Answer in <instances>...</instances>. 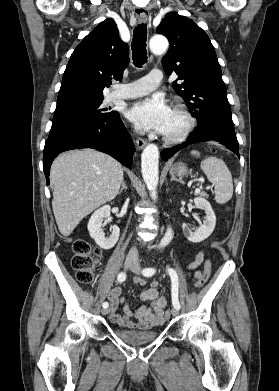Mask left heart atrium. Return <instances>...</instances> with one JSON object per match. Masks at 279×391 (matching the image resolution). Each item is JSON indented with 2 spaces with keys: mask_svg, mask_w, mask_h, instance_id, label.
Wrapping results in <instances>:
<instances>
[{
  "mask_svg": "<svg viewBox=\"0 0 279 391\" xmlns=\"http://www.w3.org/2000/svg\"><path fill=\"white\" fill-rule=\"evenodd\" d=\"M171 109L160 96L134 102L126 109V117L145 129L163 133Z\"/></svg>",
  "mask_w": 279,
  "mask_h": 391,
  "instance_id": "left-heart-atrium-1",
  "label": "left heart atrium"
}]
</instances>
